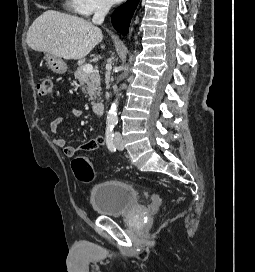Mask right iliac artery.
I'll list each match as a JSON object with an SVG mask.
<instances>
[{"label":"right iliac artery","mask_w":255,"mask_h":272,"mask_svg":"<svg viewBox=\"0 0 255 272\" xmlns=\"http://www.w3.org/2000/svg\"><path fill=\"white\" fill-rule=\"evenodd\" d=\"M114 133L112 129H107L106 130V144L108 149L111 152H115L116 151V147H115V143H114Z\"/></svg>","instance_id":"obj_1"}]
</instances>
